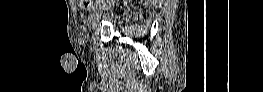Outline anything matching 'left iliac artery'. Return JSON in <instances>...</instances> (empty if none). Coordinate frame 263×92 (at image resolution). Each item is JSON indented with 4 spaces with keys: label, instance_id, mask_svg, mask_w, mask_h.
Here are the masks:
<instances>
[{
    "label": "left iliac artery",
    "instance_id": "obj_1",
    "mask_svg": "<svg viewBox=\"0 0 263 92\" xmlns=\"http://www.w3.org/2000/svg\"><path fill=\"white\" fill-rule=\"evenodd\" d=\"M91 10H92V12H95V10H96V1H92Z\"/></svg>",
    "mask_w": 263,
    "mask_h": 92
}]
</instances>
